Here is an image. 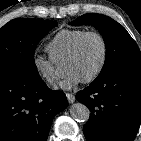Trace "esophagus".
<instances>
[{
	"mask_svg": "<svg viewBox=\"0 0 141 141\" xmlns=\"http://www.w3.org/2000/svg\"><path fill=\"white\" fill-rule=\"evenodd\" d=\"M66 97L69 103L75 102V96L71 93H66Z\"/></svg>",
	"mask_w": 141,
	"mask_h": 141,
	"instance_id": "esophagus-1",
	"label": "esophagus"
}]
</instances>
